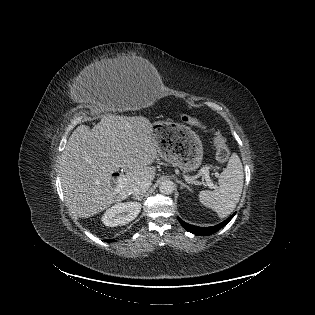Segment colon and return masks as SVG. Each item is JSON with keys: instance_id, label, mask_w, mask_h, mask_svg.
Returning a JSON list of instances; mask_svg holds the SVG:
<instances>
[{"instance_id": "1", "label": "colon", "mask_w": 315, "mask_h": 315, "mask_svg": "<svg viewBox=\"0 0 315 315\" xmlns=\"http://www.w3.org/2000/svg\"><path fill=\"white\" fill-rule=\"evenodd\" d=\"M182 121L211 133L215 146V157L218 162L224 163L229 159L230 149L225 139L217 131L206 130L197 118L190 115H182Z\"/></svg>"}]
</instances>
